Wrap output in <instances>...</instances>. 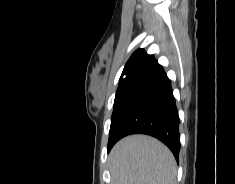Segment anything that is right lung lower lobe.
Returning a JSON list of instances; mask_svg holds the SVG:
<instances>
[{
	"label": "right lung lower lobe",
	"mask_w": 235,
	"mask_h": 184,
	"mask_svg": "<svg viewBox=\"0 0 235 184\" xmlns=\"http://www.w3.org/2000/svg\"><path fill=\"white\" fill-rule=\"evenodd\" d=\"M130 134H147L159 139L172 151L178 162V110L171 81L161 65L124 91L112 115L109 151L118 140Z\"/></svg>",
	"instance_id": "98d812e1"
}]
</instances>
